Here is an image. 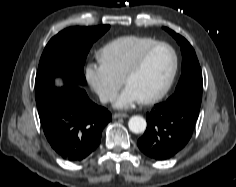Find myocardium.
Segmentation results:
<instances>
[{
	"instance_id": "obj_1",
	"label": "myocardium",
	"mask_w": 236,
	"mask_h": 187,
	"mask_svg": "<svg viewBox=\"0 0 236 187\" xmlns=\"http://www.w3.org/2000/svg\"><path fill=\"white\" fill-rule=\"evenodd\" d=\"M160 47H165L170 50L172 57H173L172 69H171L170 75L168 77V80L165 83V85L162 87V89L160 91H158L156 94L141 100V102L144 104H151V103L158 102L171 89V87L175 81L178 67H179V57H178V54H177V51L175 50V48L171 44H169L167 42H161V41L151 44L150 46H148L147 48H145L143 51L140 52V54L136 57V59L131 64V66L128 68V70L125 72V74L122 78V82L126 85L127 81L132 76H134L135 74H137L140 71V69L142 68L143 64L145 63V61H146L147 57L150 55V53H152L155 49L160 48Z\"/></svg>"
}]
</instances>
